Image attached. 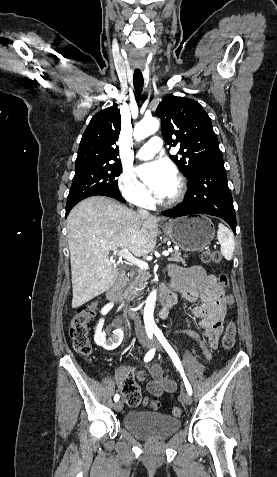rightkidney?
I'll return each mask as SVG.
<instances>
[{
	"label": "right kidney",
	"mask_w": 277,
	"mask_h": 477,
	"mask_svg": "<svg viewBox=\"0 0 277 477\" xmlns=\"http://www.w3.org/2000/svg\"><path fill=\"white\" fill-rule=\"evenodd\" d=\"M113 308V303H108L101 310L102 315H106ZM104 325V319H101L96 326V331L94 335V341L98 346L103 347L105 350H114L116 349L123 340V330L117 326V328L112 332V334L106 338L104 333H102V328Z\"/></svg>",
	"instance_id": "right-kidney-1"
}]
</instances>
